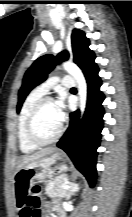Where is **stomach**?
<instances>
[{
	"label": "stomach",
	"instance_id": "stomach-1",
	"mask_svg": "<svg viewBox=\"0 0 132 217\" xmlns=\"http://www.w3.org/2000/svg\"><path fill=\"white\" fill-rule=\"evenodd\" d=\"M68 170V157L57 151L20 168L14 175L13 183L16 188L31 187L36 180H45Z\"/></svg>",
	"mask_w": 132,
	"mask_h": 217
}]
</instances>
